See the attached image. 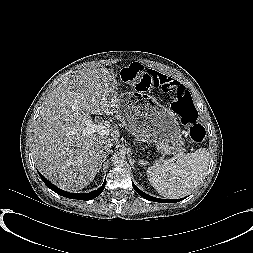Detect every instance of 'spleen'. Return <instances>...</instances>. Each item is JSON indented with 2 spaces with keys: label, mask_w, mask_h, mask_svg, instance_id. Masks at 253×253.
Segmentation results:
<instances>
[{
  "label": "spleen",
  "mask_w": 253,
  "mask_h": 253,
  "mask_svg": "<svg viewBox=\"0 0 253 253\" xmlns=\"http://www.w3.org/2000/svg\"><path fill=\"white\" fill-rule=\"evenodd\" d=\"M210 160L205 148L193 153L178 155L163 164L147 169V176L154 189L167 199H178L190 193L202 181Z\"/></svg>",
  "instance_id": "3e777b00"
}]
</instances>
